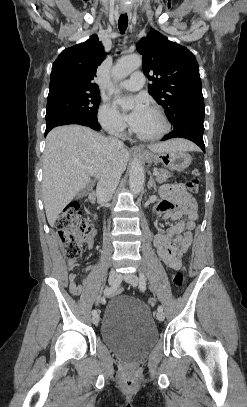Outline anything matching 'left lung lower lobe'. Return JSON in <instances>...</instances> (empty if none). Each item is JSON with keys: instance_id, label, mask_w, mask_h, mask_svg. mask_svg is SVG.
<instances>
[{"instance_id": "obj_1", "label": "left lung lower lobe", "mask_w": 247, "mask_h": 407, "mask_svg": "<svg viewBox=\"0 0 247 407\" xmlns=\"http://www.w3.org/2000/svg\"><path fill=\"white\" fill-rule=\"evenodd\" d=\"M204 113L188 112L179 117L174 123V129L171 133L166 135L162 140L171 138H186L197 144L203 152H205V145L203 141L204 132Z\"/></svg>"}]
</instances>
